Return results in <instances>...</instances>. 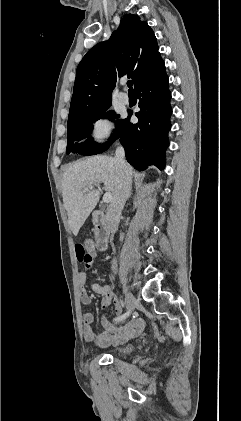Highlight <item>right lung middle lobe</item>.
<instances>
[{
  "instance_id": "obj_1",
  "label": "right lung middle lobe",
  "mask_w": 241,
  "mask_h": 421,
  "mask_svg": "<svg viewBox=\"0 0 241 421\" xmlns=\"http://www.w3.org/2000/svg\"><path fill=\"white\" fill-rule=\"evenodd\" d=\"M108 108L109 107L96 113L68 121V144L66 148L67 154H69L70 152H76L78 154L86 156L99 154L104 152L112 144L113 141L120 137L124 129L125 119L117 120L115 133L112 137H110V140L106 144H97L89 138L84 140L85 138L89 137L93 127V123L98 119H112L115 117H119V115H116L114 111L107 112Z\"/></svg>"
}]
</instances>
